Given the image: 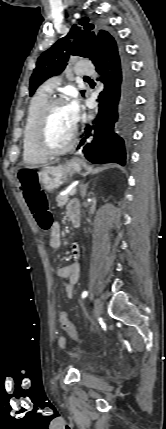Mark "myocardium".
I'll return each instance as SVG.
<instances>
[{
    "instance_id": "f54148a6",
    "label": "myocardium",
    "mask_w": 166,
    "mask_h": 429,
    "mask_svg": "<svg viewBox=\"0 0 166 429\" xmlns=\"http://www.w3.org/2000/svg\"><path fill=\"white\" fill-rule=\"evenodd\" d=\"M59 104H66V100L62 97H52L48 99L39 112L34 125L33 145L37 151L47 157L58 156L69 152L74 147L77 139L78 126L75 123L69 142L65 146L61 148H52L46 143L45 129L47 120L52 109Z\"/></svg>"
}]
</instances>
